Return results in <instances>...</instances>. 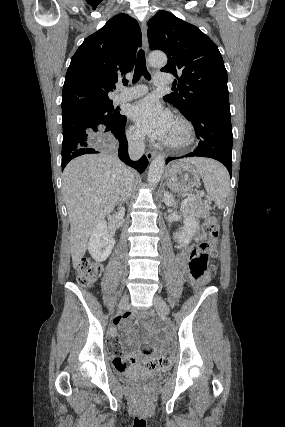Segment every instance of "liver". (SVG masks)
<instances>
[{
  "mask_svg": "<svg viewBox=\"0 0 285 427\" xmlns=\"http://www.w3.org/2000/svg\"><path fill=\"white\" fill-rule=\"evenodd\" d=\"M182 162L201 165L208 159ZM129 168L109 152L87 154L67 164L62 175V193L70 220L72 264L77 268L88 239L99 221L112 212L120 198L123 178Z\"/></svg>",
  "mask_w": 285,
  "mask_h": 427,
  "instance_id": "1",
  "label": "liver"
}]
</instances>
